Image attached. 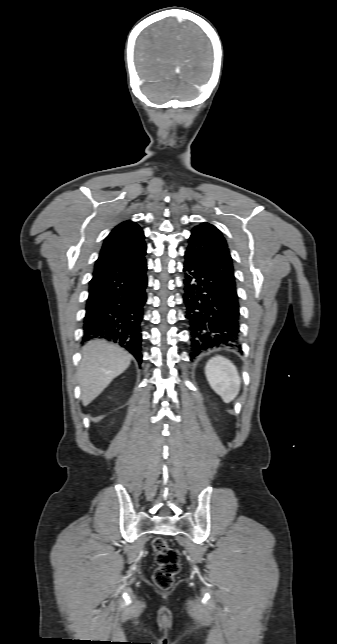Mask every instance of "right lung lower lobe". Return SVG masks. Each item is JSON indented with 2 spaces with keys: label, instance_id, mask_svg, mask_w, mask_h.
Instances as JSON below:
<instances>
[{
  "label": "right lung lower lobe",
  "instance_id": "98d812e1",
  "mask_svg": "<svg viewBox=\"0 0 337 644\" xmlns=\"http://www.w3.org/2000/svg\"><path fill=\"white\" fill-rule=\"evenodd\" d=\"M147 263L145 258L112 266L93 275L84 318V341L94 337L118 343L139 363Z\"/></svg>",
  "mask_w": 337,
  "mask_h": 644
}]
</instances>
